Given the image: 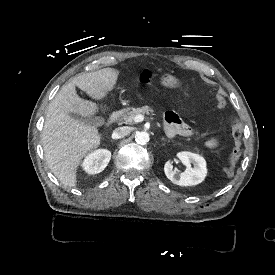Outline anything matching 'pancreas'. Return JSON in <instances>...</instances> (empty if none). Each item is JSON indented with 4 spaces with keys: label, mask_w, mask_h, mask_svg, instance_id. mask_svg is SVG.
Returning <instances> with one entry per match:
<instances>
[{
    "label": "pancreas",
    "mask_w": 275,
    "mask_h": 275,
    "mask_svg": "<svg viewBox=\"0 0 275 275\" xmlns=\"http://www.w3.org/2000/svg\"><path fill=\"white\" fill-rule=\"evenodd\" d=\"M153 110L149 106H143L140 108H126L119 110L117 114L119 115L118 121L119 123L124 124H133L135 121V116L138 114H150Z\"/></svg>",
    "instance_id": "obj_1"
}]
</instances>
